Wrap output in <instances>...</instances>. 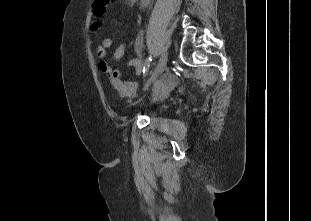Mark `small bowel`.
<instances>
[{
	"label": "small bowel",
	"instance_id": "c3829d8e",
	"mask_svg": "<svg viewBox=\"0 0 311 221\" xmlns=\"http://www.w3.org/2000/svg\"><path fill=\"white\" fill-rule=\"evenodd\" d=\"M135 1L136 0H129V2L131 3H134ZM98 46H112V39L108 37L104 38ZM135 50L138 56L130 59L128 62V66L134 68L136 73H138L141 67L142 62L141 53L143 50V37L141 34L138 35V37L136 38ZM125 51H126V44L123 42L119 44V46L114 51L113 59L115 61H119L120 59L123 58ZM96 54L99 58L98 68L102 73L106 74L111 80L113 79V77L119 76V71L113 69L106 59L108 53H96ZM139 87L140 84L137 81H124L117 86V89L123 98L131 99L137 94Z\"/></svg>",
	"mask_w": 311,
	"mask_h": 221
}]
</instances>
